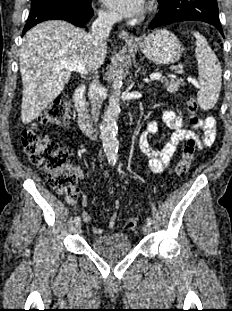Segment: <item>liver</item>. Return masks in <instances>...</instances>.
Here are the masks:
<instances>
[{"instance_id": "liver-1", "label": "liver", "mask_w": 232, "mask_h": 311, "mask_svg": "<svg viewBox=\"0 0 232 311\" xmlns=\"http://www.w3.org/2000/svg\"><path fill=\"white\" fill-rule=\"evenodd\" d=\"M106 53V43L95 49L86 31L65 21H47L29 30L20 51L22 122H32L61 94L71 78L70 71L59 68L63 61L81 63L95 71Z\"/></svg>"}]
</instances>
